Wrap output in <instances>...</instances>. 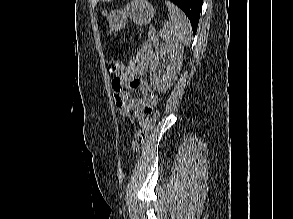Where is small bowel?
<instances>
[{
    "mask_svg": "<svg viewBox=\"0 0 293 219\" xmlns=\"http://www.w3.org/2000/svg\"><path fill=\"white\" fill-rule=\"evenodd\" d=\"M151 54V48L144 45L142 50L130 60L128 66L122 71L120 89H116L112 81L117 107L131 122H137L142 128L150 121L149 108L153 109L158 102V97L148 82L140 79L147 73ZM130 89H139L142 94L141 98H133L129 93Z\"/></svg>",
    "mask_w": 293,
    "mask_h": 219,
    "instance_id": "obj_1",
    "label": "small bowel"
}]
</instances>
